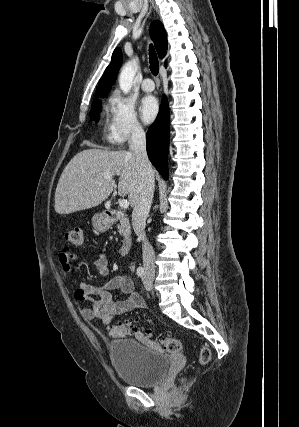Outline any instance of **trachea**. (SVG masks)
<instances>
[{"instance_id": "1", "label": "trachea", "mask_w": 299, "mask_h": 427, "mask_svg": "<svg viewBox=\"0 0 299 427\" xmlns=\"http://www.w3.org/2000/svg\"><path fill=\"white\" fill-rule=\"evenodd\" d=\"M149 63H150V70L154 76L158 74L159 71V62L156 55V52L152 45L149 47Z\"/></svg>"}]
</instances>
